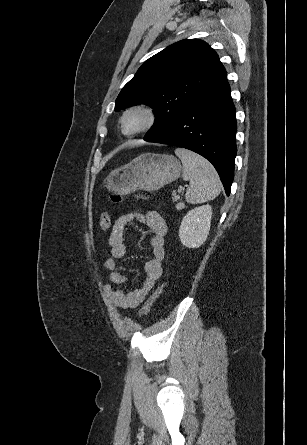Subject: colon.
<instances>
[{
  "label": "colon",
  "mask_w": 307,
  "mask_h": 445,
  "mask_svg": "<svg viewBox=\"0 0 307 445\" xmlns=\"http://www.w3.org/2000/svg\"><path fill=\"white\" fill-rule=\"evenodd\" d=\"M137 197L139 198H144V195H137ZM111 200L114 203H119L123 200V196H121L120 194H113L111 196ZM112 222V214L110 211H106L103 212L99 218V228L102 231L107 230ZM165 287V283H162L161 285H159L155 291L152 293V295L145 301V303L143 304V306L141 307L139 313L140 316H145L148 314V312L150 311L152 305L155 303V301L158 299V297L161 295V293L163 292Z\"/></svg>",
  "instance_id": "obj_1"
}]
</instances>
